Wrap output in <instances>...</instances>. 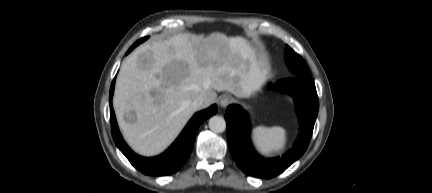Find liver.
I'll list each match as a JSON object with an SVG mask.
<instances>
[{
	"label": "liver",
	"instance_id": "obj_1",
	"mask_svg": "<svg viewBox=\"0 0 432 193\" xmlns=\"http://www.w3.org/2000/svg\"><path fill=\"white\" fill-rule=\"evenodd\" d=\"M267 62L245 38L219 32L207 37L179 33L137 47L122 63L113 107L128 145L154 156L178 136L196 110L198 96L206 108L216 91L249 96L267 74ZM133 111L134 122L125 114Z\"/></svg>",
	"mask_w": 432,
	"mask_h": 193
}]
</instances>
